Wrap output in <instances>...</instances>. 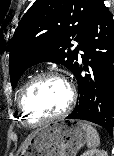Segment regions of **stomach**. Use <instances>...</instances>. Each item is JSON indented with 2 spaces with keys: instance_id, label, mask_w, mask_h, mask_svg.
Returning <instances> with one entry per match:
<instances>
[{
  "instance_id": "1",
  "label": "stomach",
  "mask_w": 114,
  "mask_h": 156,
  "mask_svg": "<svg viewBox=\"0 0 114 156\" xmlns=\"http://www.w3.org/2000/svg\"><path fill=\"white\" fill-rule=\"evenodd\" d=\"M87 140L82 121L54 122L37 130L20 156H75Z\"/></svg>"
}]
</instances>
